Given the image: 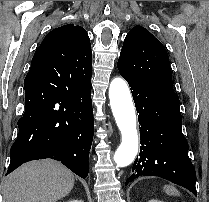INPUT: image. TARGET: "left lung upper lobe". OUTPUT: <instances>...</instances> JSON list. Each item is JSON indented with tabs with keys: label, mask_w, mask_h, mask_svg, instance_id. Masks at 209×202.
Listing matches in <instances>:
<instances>
[{
	"label": "left lung upper lobe",
	"mask_w": 209,
	"mask_h": 202,
	"mask_svg": "<svg viewBox=\"0 0 209 202\" xmlns=\"http://www.w3.org/2000/svg\"><path fill=\"white\" fill-rule=\"evenodd\" d=\"M117 66L121 75L174 91L168 54L161 42L142 26H135L127 34Z\"/></svg>",
	"instance_id": "obj_1"
}]
</instances>
